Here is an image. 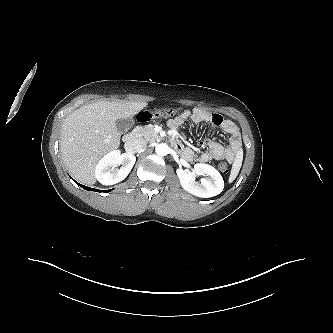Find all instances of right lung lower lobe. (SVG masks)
<instances>
[{"instance_id":"1","label":"right lung lower lobe","mask_w":333,"mask_h":333,"mask_svg":"<svg viewBox=\"0 0 333 333\" xmlns=\"http://www.w3.org/2000/svg\"><path fill=\"white\" fill-rule=\"evenodd\" d=\"M77 185L81 186L83 189L88 190V191H96V192H101L102 190H98V189H93L84 185H81L79 183H77L75 180H73ZM107 192H109L108 190H106Z\"/></svg>"}]
</instances>
